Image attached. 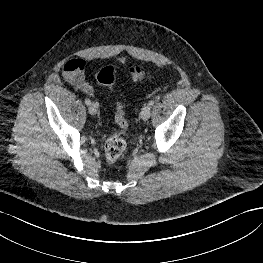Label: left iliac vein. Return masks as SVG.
Segmentation results:
<instances>
[{
	"label": "left iliac vein",
	"mask_w": 263,
	"mask_h": 263,
	"mask_svg": "<svg viewBox=\"0 0 263 263\" xmlns=\"http://www.w3.org/2000/svg\"><path fill=\"white\" fill-rule=\"evenodd\" d=\"M141 119L146 121L149 119L150 115H151V107L149 105L144 106L141 110Z\"/></svg>",
	"instance_id": "4c4485c4"
}]
</instances>
